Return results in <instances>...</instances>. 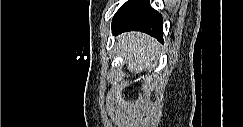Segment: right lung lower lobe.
<instances>
[{
    "label": "right lung lower lobe",
    "mask_w": 243,
    "mask_h": 127,
    "mask_svg": "<svg viewBox=\"0 0 243 127\" xmlns=\"http://www.w3.org/2000/svg\"><path fill=\"white\" fill-rule=\"evenodd\" d=\"M162 15L153 9L149 0H128L115 14L112 32L141 31L163 43Z\"/></svg>",
    "instance_id": "1"
}]
</instances>
